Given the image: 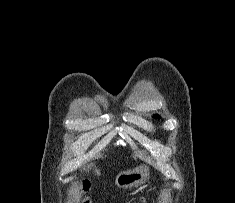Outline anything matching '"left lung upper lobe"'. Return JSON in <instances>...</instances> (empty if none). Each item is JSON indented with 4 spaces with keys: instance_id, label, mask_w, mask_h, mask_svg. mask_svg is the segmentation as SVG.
<instances>
[{
    "instance_id": "5c2ea615",
    "label": "left lung upper lobe",
    "mask_w": 235,
    "mask_h": 203,
    "mask_svg": "<svg viewBox=\"0 0 235 203\" xmlns=\"http://www.w3.org/2000/svg\"><path fill=\"white\" fill-rule=\"evenodd\" d=\"M154 117H156V118H160L158 115H154Z\"/></svg>"
}]
</instances>
